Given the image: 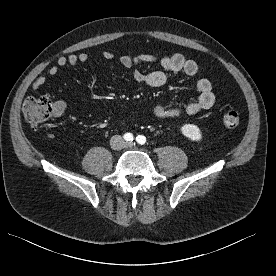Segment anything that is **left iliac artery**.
Here are the masks:
<instances>
[{"label":"left iliac artery","mask_w":276,"mask_h":276,"mask_svg":"<svg viewBox=\"0 0 276 276\" xmlns=\"http://www.w3.org/2000/svg\"><path fill=\"white\" fill-rule=\"evenodd\" d=\"M136 142L139 143V144H141V145H143V144L146 143V137L143 136V135H138L136 137Z\"/></svg>","instance_id":"obj_1"}]
</instances>
